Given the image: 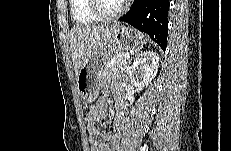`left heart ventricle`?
Masks as SVG:
<instances>
[{
    "mask_svg": "<svg viewBox=\"0 0 231 151\" xmlns=\"http://www.w3.org/2000/svg\"><path fill=\"white\" fill-rule=\"evenodd\" d=\"M122 3L119 0H101V7L106 13H114L121 7Z\"/></svg>",
    "mask_w": 231,
    "mask_h": 151,
    "instance_id": "left-heart-ventricle-1",
    "label": "left heart ventricle"
}]
</instances>
